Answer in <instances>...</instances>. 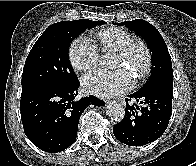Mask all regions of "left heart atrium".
Masks as SVG:
<instances>
[{
  "label": "left heart atrium",
  "mask_w": 196,
  "mask_h": 166,
  "mask_svg": "<svg viewBox=\"0 0 196 166\" xmlns=\"http://www.w3.org/2000/svg\"><path fill=\"white\" fill-rule=\"evenodd\" d=\"M134 84L133 76L123 68L112 71L95 69L82 78L84 89L98 96H111L126 92Z\"/></svg>",
  "instance_id": "left-heart-atrium-1"
}]
</instances>
